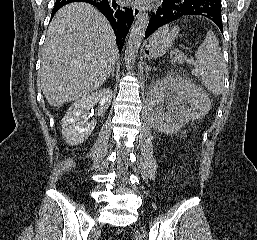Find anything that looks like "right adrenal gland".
<instances>
[{"label": "right adrenal gland", "mask_w": 257, "mask_h": 240, "mask_svg": "<svg viewBox=\"0 0 257 240\" xmlns=\"http://www.w3.org/2000/svg\"><path fill=\"white\" fill-rule=\"evenodd\" d=\"M109 78H111L112 80L114 79V70L111 72V74L109 75V77L105 81H107Z\"/></svg>", "instance_id": "right-adrenal-gland-1"}]
</instances>
